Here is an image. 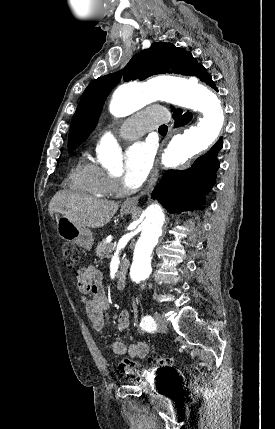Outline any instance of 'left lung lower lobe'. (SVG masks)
<instances>
[{"instance_id":"obj_1","label":"left lung lower lobe","mask_w":275,"mask_h":429,"mask_svg":"<svg viewBox=\"0 0 275 429\" xmlns=\"http://www.w3.org/2000/svg\"><path fill=\"white\" fill-rule=\"evenodd\" d=\"M197 77L207 85L216 89L212 77L202 67ZM173 118L175 127L187 124L192 115H182L180 109L174 110ZM223 141L220 138L217 143L203 156L195 160L191 168L187 170L167 171L158 186L152 192V198L157 199L170 212L186 210H202L204 194H207L216 181V171L219 168L217 153L222 148Z\"/></svg>"}]
</instances>
